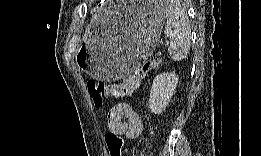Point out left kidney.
<instances>
[{"label": "left kidney", "mask_w": 261, "mask_h": 156, "mask_svg": "<svg viewBox=\"0 0 261 156\" xmlns=\"http://www.w3.org/2000/svg\"><path fill=\"white\" fill-rule=\"evenodd\" d=\"M177 83L178 76L175 73L164 72L154 78L149 97L152 113L160 114L168 106Z\"/></svg>", "instance_id": "obj_1"}]
</instances>
